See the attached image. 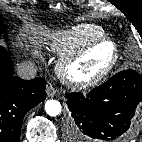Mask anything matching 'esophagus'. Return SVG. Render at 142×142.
<instances>
[{"mask_svg": "<svg viewBox=\"0 0 142 142\" xmlns=\"http://www.w3.org/2000/svg\"><path fill=\"white\" fill-rule=\"evenodd\" d=\"M46 92L48 97L52 98L56 95L57 90L52 85H50V86H47Z\"/></svg>", "mask_w": 142, "mask_h": 142, "instance_id": "esophagus-1", "label": "esophagus"}]
</instances>
